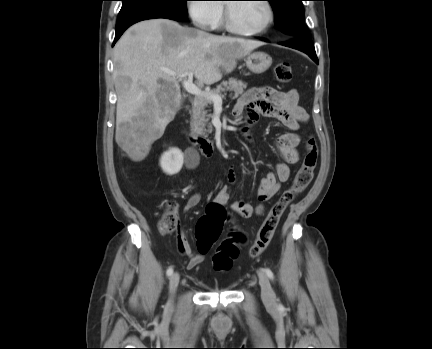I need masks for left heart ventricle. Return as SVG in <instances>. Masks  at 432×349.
Segmentation results:
<instances>
[{
    "instance_id": "b2bd125f",
    "label": "left heart ventricle",
    "mask_w": 432,
    "mask_h": 349,
    "mask_svg": "<svg viewBox=\"0 0 432 349\" xmlns=\"http://www.w3.org/2000/svg\"><path fill=\"white\" fill-rule=\"evenodd\" d=\"M234 25L242 30L262 28L268 19V10L263 2L230 3Z\"/></svg>"
}]
</instances>
